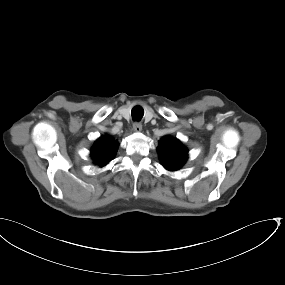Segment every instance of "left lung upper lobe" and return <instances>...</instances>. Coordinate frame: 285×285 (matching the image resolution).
<instances>
[{
    "label": "left lung upper lobe",
    "mask_w": 285,
    "mask_h": 285,
    "mask_svg": "<svg viewBox=\"0 0 285 285\" xmlns=\"http://www.w3.org/2000/svg\"><path fill=\"white\" fill-rule=\"evenodd\" d=\"M157 150L162 166L169 171L180 169L186 162L188 150L177 138L169 136L159 141Z\"/></svg>",
    "instance_id": "1"
}]
</instances>
